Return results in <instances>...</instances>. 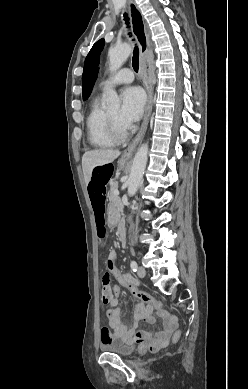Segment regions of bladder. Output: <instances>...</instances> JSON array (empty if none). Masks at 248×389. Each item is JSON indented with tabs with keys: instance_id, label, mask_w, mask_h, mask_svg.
I'll list each match as a JSON object with an SVG mask.
<instances>
[{
	"instance_id": "obj_1",
	"label": "bladder",
	"mask_w": 248,
	"mask_h": 389,
	"mask_svg": "<svg viewBox=\"0 0 248 389\" xmlns=\"http://www.w3.org/2000/svg\"><path fill=\"white\" fill-rule=\"evenodd\" d=\"M100 348L105 353H113L121 356H130L136 350L135 346L129 345L122 339L116 337H113L111 341L102 343Z\"/></svg>"
}]
</instances>
